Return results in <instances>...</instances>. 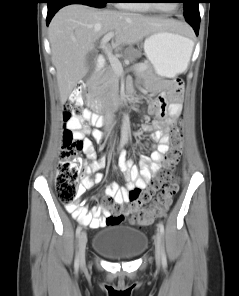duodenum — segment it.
<instances>
[{
	"mask_svg": "<svg viewBox=\"0 0 239 296\" xmlns=\"http://www.w3.org/2000/svg\"><path fill=\"white\" fill-rule=\"evenodd\" d=\"M106 64V58L103 55H98L97 59H96V63H95V70L96 72H98L99 70H101ZM85 89V85L84 84H78L77 87L75 88V91L73 93V95L75 96V98H78L79 94H81ZM87 101L88 104L91 108L93 109H99V105L96 103V101L94 100L93 96L91 94H88L87 96ZM125 102V98L123 97H119L117 98L115 104L116 106H120ZM104 124V121L101 117H98V119L95 122V125L98 127H101Z\"/></svg>",
	"mask_w": 239,
	"mask_h": 296,
	"instance_id": "410a0bca",
	"label": "duodenum"
}]
</instances>
